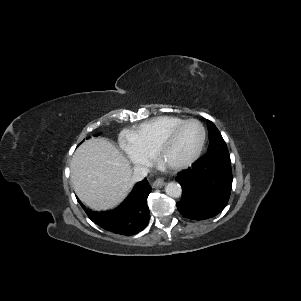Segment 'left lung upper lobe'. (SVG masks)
Instances as JSON below:
<instances>
[{
  "instance_id": "5c2ea615",
  "label": "left lung upper lobe",
  "mask_w": 301,
  "mask_h": 301,
  "mask_svg": "<svg viewBox=\"0 0 301 301\" xmlns=\"http://www.w3.org/2000/svg\"><path fill=\"white\" fill-rule=\"evenodd\" d=\"M207 127L209 132V147L204 158L210 156H223L230 157L226 143L221 136V133L216 126L209 120H207Z\"/></svg>"
}]
</instances>
